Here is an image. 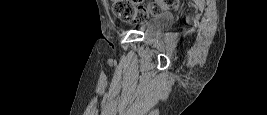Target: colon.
Listing matches in <instances>:
<instances>
[{
    "mask_svg": "<svg viewBox=\"0 0 267 115\" xmlns=\"http://www.w3.org/2000/svg\"><path fill=\"white\" fill-rule=\"evenodd\" d=\"M112 10L121 21L140 23L163 13V6L157 3L143 6L135 5L128 0H113Z\"/></svg>",
    "mask_w": 267,
    "mask_h": 115,
    "instance_id": "colon-1",
    "label": "colon"
}]
</instances>
